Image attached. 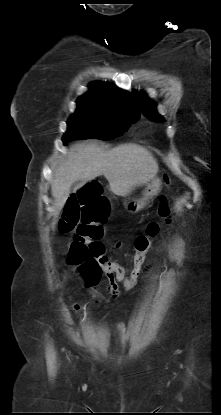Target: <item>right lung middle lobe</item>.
<instances>
[{
  "label": "right lung middle lobe",
  "mask_w": 221,
  "mask_h": 415,
  "mask_svg": "<svg viewBox=\"0 0 221 415\" xmlns=\"http://www.w3.org/2000/svg\"><path fill=\"white\" fill-rule=\"evenodd\" d=\"M138 113L124 108L101 107L92 104H77L76 112L67 122L63 142L77 139H113L128 130Z\"/></svg>",
  "instance_id": "obj_1"
}]
</instances>
